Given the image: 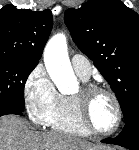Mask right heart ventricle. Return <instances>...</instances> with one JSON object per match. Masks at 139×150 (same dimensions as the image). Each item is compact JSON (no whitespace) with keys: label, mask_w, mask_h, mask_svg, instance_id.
<instances>
[{"label":"right heart ventricle","mask_w":139,"mask_h":150,"mask_svg":"<svg viewBox=\"0 0 139 150\" xmlns=\"http://www.w3.org/2000/svg\"><path fill=\"white\" fill-rule=\"evenodd\" d=\"M47 125L57 132L79 136L90 135V132L85 129L79 119L75 96L60 95L49 116Z\"/></svg>","instance_id":"obj_1"}]
</instances>
